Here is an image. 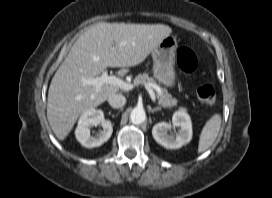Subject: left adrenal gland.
Wrapping results in <instances>:
<instances>
[{
  "mask_svg": "<svg viewBox=\"0 0 272 198\" xmlns=\"http://www.w3.org/2000/svg\"><path fill=\"white\" fill-rule=\"evenodd\" d=\"M149 111L151 112V113H154V112H157V111H161V108L160 107H156V108H149Z\"/></svg>",
  "mask_w": 272,
  "mask_h": 198,
  "instance_id": "left-adrenal-gland-1",
  "label": "left adrenal gland"
}]
</instances>
